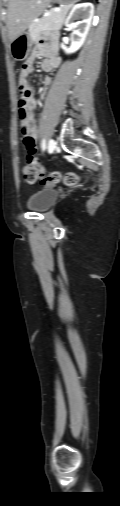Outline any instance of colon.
Wrapping results in <instances>:
<instances>
[{
	"label": "colon",
	"mask_w": 120,
	"mask_h": 506,
	"mask_svg": "<svg viewBox=\"0 0 120 506\" xmlns=\"http://www.w3.org/2000/svg\"><path fill=\"white\" fill-rule=\"evenodd\" d=\"M30 95L28 88L19 86L18 88V108L19 116L25 107L26 100ZM23 134V133H22ZM25 148L31 153L28 162L23 166V176L28 183L40 181L44 185H53L63 182L66 186H75L81 181L79 174L68 172L61 174L57 171L46 172L39 164L38 160L33 156L36 149V141L30 136L24 135L23 138Z\"/></svg>",
	"instance_id": "obj_1"
}]
</instances>
